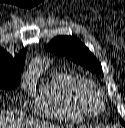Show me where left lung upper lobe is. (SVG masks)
Wrapping results in <instances>:
<instances>
[{
    "label": "left lung upper lobe",
    "mask_w": 125,
    "mask_h": 128,
    "mask_svg": "<svg viewBox=\"0 0 125 128\" xmlns=\"http://www.w3.org/2000/svg\"><path fill=\"white\" fill-rule=\"evenodd\" d=\"M47 49L54 54L67 56L70 60L85 66L94 73L102 72L101 64L96 57L74 36H58L51 40ZM121 124L125 126L122 119Z\"/></svg>",
    "instance_id": "left-lung-upper-lobe-1"
}]
</instances>
